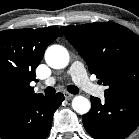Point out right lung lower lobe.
Masks as SVG:
<instances>
[{
  "label": "right lung lower lobe",
  "mask_w": 139,
  "mask_h": 139,
  "mask_svg": "<svg viewBox=\"0 0 139 139\" xmlns=\"http://www.w3.org/2000/svg\"><path fill=\"white\" fill-rule=\"evenodd\" d=\"M63 100V94L57 93L0 111V139H45Z\"/></svg>",
  "instance_id": "obj_1"
}]
</instances>
